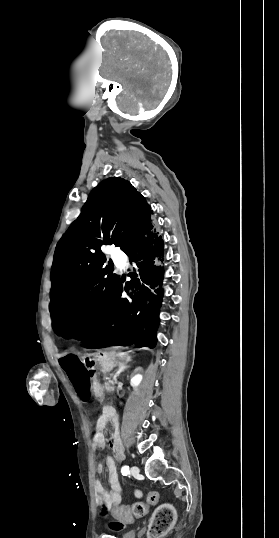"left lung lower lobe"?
I'll return each mask as SVG.
<instances>
[{"mask_svg":"<svg viewBox=\"0 0 279 538\" xmlns=\"http://www.w3.org/2000/svg\"><path fill=\"white\" fill-rule=\"evenodd\" d=\"M162 237L156 233L154 226L147 228L139 241L134 243L125 253L130 261L137 263L138 274L131 276L125 284V291H133L130 299H122L123 285L120 284L114 296L115 306L105 323L91 336L78 332H69L64 338L76 336L84 342L86 348H102L107 346L150 347L156 345V328L159 324V310L163 297L161 288L164 268L159 266L163 261Z\"/></svg>","mask_w":279,"mask_h":538,"instance_id":"obj_1","label":"left lung lower lobe"}]
</instances>
